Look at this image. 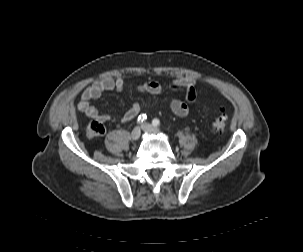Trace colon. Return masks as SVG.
Instances as JSON below:
<instances>
[{"mask_svg": "<svg viewBox=\"0 0 303 252\" xmlns=\"http://www.w3.org/2000/svg\"><path fill=\"white\" fill-rule=\"evenodd\" d=\"M213 127L217 131H223L226 127V117L224 114L218 116L213 123ZM105 133V126L101 121H92L88 126V135L90 137H99Z\"/></svg>", "mask_w": 303, "mask_h": 252, "instance_id": "obj_1", "label": "colon"}]
</instances>
